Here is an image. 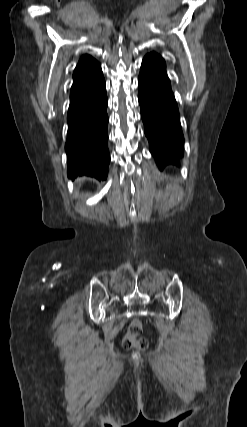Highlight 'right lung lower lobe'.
<instances>
[{
  "label": "right lung lower lobe",
  "instance_id": "1",
  "mask_svg": "<svg viewBox=\"0 0 247 427\" xmlns=\"http://www.w3.org/2000/svg\"><path fill=\"white\" fill-rule=\"evenodd\" d=\"M107 105L101 68L73 82L65 144L69 178L83 175L107 178L110 162Z\"/></svg>",
  "mask_w": 247,
  "mask_h": 427
}]
</instances>
